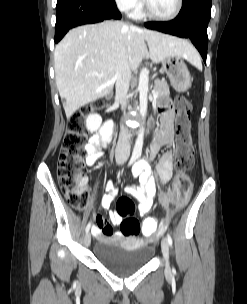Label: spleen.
<instances>
[{
  "label": "spleen",
  "instance_id": "3e777b00",
  "mask_svg": "<svg viewBox=\"0 0 247 304\" xmlns=\"http://www.w3.org/2000/svg\"><path fill=\"white\" fill-rule=\"evenodd\" d=\"M191 63L199 69L202 67L201 60H200L199 56L195 57L193 60H191Z\"/></svg>",
  "mask_w": 247,
  "mask_h": 304
}]
</instances>
